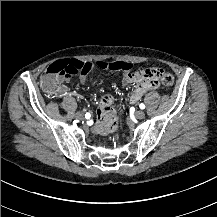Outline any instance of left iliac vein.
<instances>
[{
	"mask_svg": "<svg viewBox=\"0 0 217 217\" xmlns=\"http://www.w3.org/2000/svg\"><path fill=\"white\" fill-rule=\"evenodd\" d=\"M134 115L137 119H143L145 117V112L143 110H137Z\"/></svg>",
	"mask_w": 217,
	"mask_h": 217,
	"instance_id": "obj_1",
	"label": "left iliac vein"
}]
</instances>
